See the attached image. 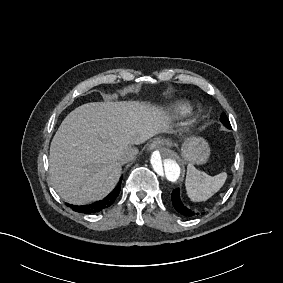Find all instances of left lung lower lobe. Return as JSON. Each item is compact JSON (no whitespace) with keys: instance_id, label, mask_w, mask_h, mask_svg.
<instances>
[{"instance_id":"left-lung-lower-lobe-1","label":"left lung lower lobe","mask_w":283,"mask_h":283,"mask_svg":"<svg viewBox=\"0 0 283 283\" xmlns=\"http://www.w3.org/2000/svg\"><path fill=\"white\" fill-rule=\"evenodd\" d=\"M220 120L224 124V126H226L228 129H231L230 122H229V120H228V118H227L225 113L221 114ZM172 203H173L175 209L179 213H181L182 215L189 216V217L194 215L193 212H191L188 208H186L182 204V202L180 200L179 189L178 188L173 190V192H172ZM197 215H198V213H197Z\"/></svg>"}]
</instances>
